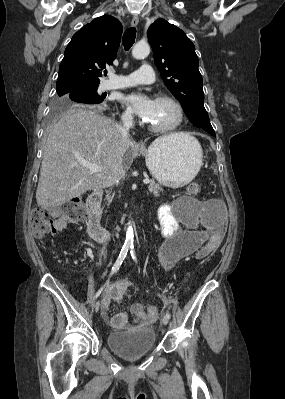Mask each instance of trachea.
<instances>
[{"instance_id": "trachea-1", "label": "trachea", "mask_w": 285, "mask_h": 399, "mask_svg": "<svg viewBox=\"0 0 285 399\" xmlns=\"http://www.w3.org/2000/svg\"><path fill=\"white\" fill-rule=\"evenodd\" d=\"M136 28H128L123 35V46L125 50H129L135 42ZM107 73H105L106 75Z\"/></svg>"}]
</instances>
